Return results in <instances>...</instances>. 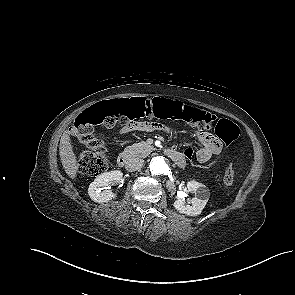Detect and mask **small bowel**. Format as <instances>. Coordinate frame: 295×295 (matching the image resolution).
I'll list each match as a JSON object with an SVG mask.
<instances>
[{
  "label": "small bowel",
  "instance_id": "c3829d8e",
  "mask_svg": "<svg viewBox=\"0 0 295 295\" xmlns=\"http://www.w3.org/2000/svg\"><path fill=\"white\" fill-rule=\"evenodd\" d=\"M154 129H158V126L155 125V123L133 122L124 125V127L121 129V132L129 133L133 131H150ZM196 138L201 144V147L196 151L195 158L197 162H200L202 164L210 161L214 156H216L221 151L223 147L221 141L211 133H197ZM182 156L184 157V154H182ZM185 159L186 158L184 157V165L186 163Z\"/></svg>",
  "mask_w": 295,
  "mask_h": 295
}]
</instances>
